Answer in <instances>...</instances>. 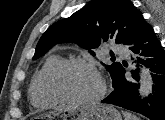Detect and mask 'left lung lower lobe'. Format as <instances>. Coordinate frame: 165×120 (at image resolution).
Segmentation results:
<instances>
[{"mask_svg": "<svg viewBox=\"0 0 165 120\" xmlns=\"http://www.w3.org/2000/svg\"><path fill=\"white\" fill-rule=\"evenodd\" d=\"M136 67L140 64L152 72V93L144 99L139 96V69L126 75L127 63L121 64L116 87L102 103L114 104L143 114L151 120H165V52L152 26L144 18L134 35L126 44Z\"/></svg>", "mask_w": 165, "mask_h": 120, "instance_id": "left-lung-lower-lobe-1", "label": "left lung lower lobe"}]
</instances>
